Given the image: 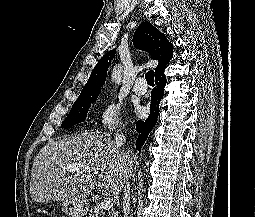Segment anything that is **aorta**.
I'll return each instance as SVG.
<instances>
[{
	"instance_id": "1",
	"label": "aorta",
	"mask_w": 255,
	"mask_h": 217,
	"mask_svg": "<svg viewBox=\"0 0 255 217\" xmlns=\"http://www.w3.org/2000/svg\"><path fill=\"white\" fill-rule=\"evenodd\" d=\"M112 81L115 83H120L121 81V66H115L112 74H111Z\"/></svg>"
}]
</instances>
